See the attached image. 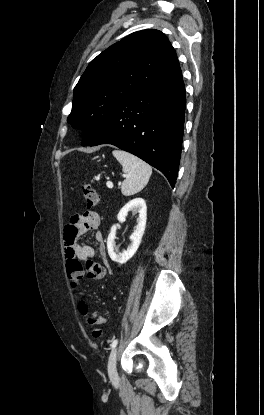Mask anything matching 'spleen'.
I'll list each match as a JSON object with an SVG mask.
<instances>
[{"instance_id": "3e777b00", "label": "spleen", "mask_w": 264, "mask_h": 415, "mask_svg": "<svg viewBox=\"0 0 264 415\" xmlns=\"http://www.w3.org/2000/svg\"><path fill=\"white\" fill-rule=\"evenodd\" d=\"M113 156L121 163L126 179L121 186L122 194L131 196L140 192L148 183L152 168L138 157L122 150H114Z\"/></svg>"}]
</instances>
